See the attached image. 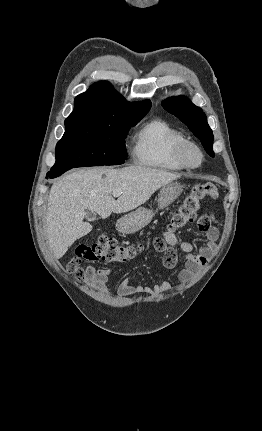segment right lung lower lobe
Listing matches in <instances>:
<instances>
[{
	"label": "right lung lower lobe",
	"instance_id": "obj_1",
	"mask_svg": "<svg viewBox=\"0 0 262 431\" xmlns=\"http://www.w3.org/2000/svg\"><path fill=\"white\" fill-rule=\"evenodd\" d=\"M67 170H69V169H65V170H61V171H49L48 173H47V175H46V178H55V177H58V176H60L61 174H63L64 172H66Z\"/></svg>",
	"mask_w": 262,
	"mask_h": 431
}]
</instances>
